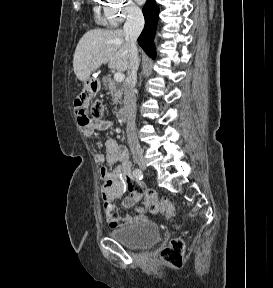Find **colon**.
<instances>
[{
	"label": "colon",
	"mask_w": 273,
	"mask_h": 288,
	"mask_svg": "<svg viewBox=\"0 0 273 288\" xmlns=\"http://www.w3.org/2000/svg\"><path fill=\"white\" fill-rule=\"evenodd\" d=\"M75 114L81 126H85L90 122L88 114L80 102L74 104ZM103 111L102 104L96 101L92 104L91 112L93 116L100 115ZM158 211L171 217L174 213V206L167 198H161L157 203ZM185 245L182 239L174 238L165 246L161 252V258L173 267H181L184 261Z\"/></svg>",
	"instance_id": "1"
}]
</instances>
